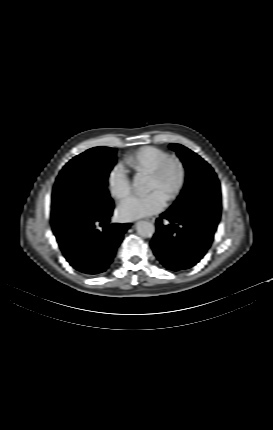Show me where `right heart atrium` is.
Here are the masks:
<instances>
[{
	"label": "right heart atrium",
	"mask_w": 273,
	"mask_h": 430,
	"mask_svg": "<svg viewBox=\"0 0 273 430\" xmlns=\"http://www.w3.org/2000/svg\"><path fill=\"white\" fill-rule=\"evenodd\" d=\"M107 185L111 195L122 200L131 193V183L125 168L120 165H114L107 176Z\"/></svg>",
	"instance_id": "1"
}]
</instances>
